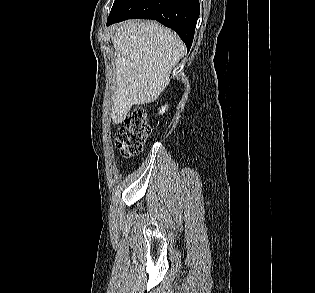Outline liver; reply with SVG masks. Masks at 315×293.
<instances>
[{
	"instance_id": "liver-1",
	"label": "liver",
	"mask_w": 315,
	"mask_h": 293,
	"mask_svg": "<svg viewBox=\"0 0 315 293\" xmlns=\"http://www.w3.org/2000/svg\"><path fill=\"white\" fill-rule=\"evenodd\" d=\"M115 30L116 87L111 118L120 124L133 105L151 103L164 91L185 46L173 31L154 21L129 20Z\"/></svg>"
}]
</instances>
